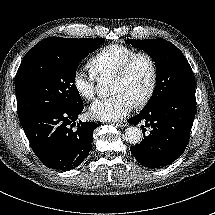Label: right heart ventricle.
Wrapping results in <instances>:
<instances>
[{
    "label": "right heart ventricle",
    "instance_id": "right-heart-ventricle-1",
    "mask_svg": "<svg viewBox=\"0 0 215 215\" xmlns=\"http://www.w3.org/2000/svg\"><path fill=\"white\" fill-rule=\"evenodd\" d=\"M133 52V47L123 43L106 45L88 60L87 68L97 77L112 75L119 64Z\"/></svg>",
    "mask_w": 215,
    "mask_h": 215
}]
</instances>
